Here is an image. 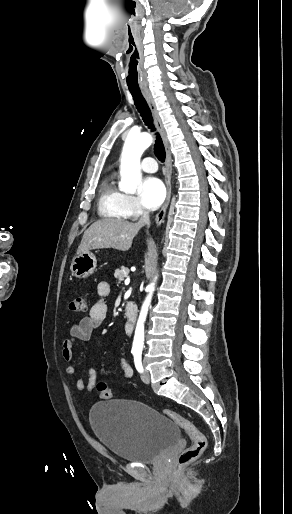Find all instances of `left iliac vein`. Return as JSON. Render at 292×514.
<instances>
[{
    "label": "left iliac vein",
    "mask_w": 292,
    "mask_h": 514,
    "mask_svg": "<svg viewBox=\"0 0 292 514\" xmlns=\"http://www.w3.org/2000/svg\"><path fill=\"white\" fill-rule=\"evenodd\" d=\"M141 379L144 383L149 384L150 383V373L148 370H144L141 374Z\"/></svg>",
    "instance_id": "obj_1"
}]
</instances>
